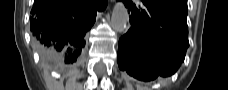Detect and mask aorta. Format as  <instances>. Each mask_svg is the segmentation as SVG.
Wrapping results in <instances>:
<instances>
[{
	"instance_id": "obj_1",
	"label": "aorta",
	"mask_w": 228,
	"mask_h": 90,
	"mask_svg": "<svg viewBox=\"0 0 228 90\" xmlns=\"http://www.w3.org/2000/svg\"><path fill=\"white\" fill-rule=\"evenodd\" d=\"M129 22V14L123 2H117L113 8L111 25L117 32L127 30Z\"/></svg>"
}]
</instances>
